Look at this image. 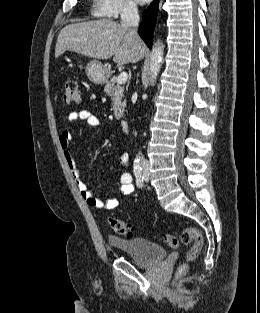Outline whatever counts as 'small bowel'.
Returning <instances> with one entry per match:
<instances>
[{
    "mask_svg": "<svg viewBox=\"0 0 260 313\" xmlns=\"http://www.w3.org/2000/svg\"><path fill=\"white\" fill-rule=\"evenodd\" d=\"M69 121L83 120L91 127H100L101 122L97 116L89 112L88 110L73 111L68 115ZM73 137L71 129L66 128L61 131L59 135V144L65 158L66 164L75 180L77 189L82 199L92 208L113 210L119 205V199L117 197L109 198L106 201L95 196V194L88 189L86 183L82 180L80 172L76 166L72 151L70 149V142ZM119 163L127 167L129 164V156L126 152L119 155ZM119 193L127 196L134 193V186L132 176L128 172H122L119 177Z\"/></svg>",
    "mask_w": 260,
    "mask_h": 313,
    "instance_id": "obj_1",
    "label": "small bowel"
}]
</instances>
